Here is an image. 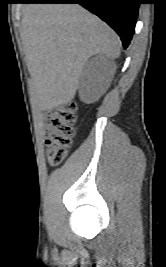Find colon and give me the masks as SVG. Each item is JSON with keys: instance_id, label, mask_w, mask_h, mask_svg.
<instances>
[{"instance_id": "1", "label": "colon", "mask_w": 166, "mask_h": 267, "mask_svg": "<svg viewBox=\"0 0 166 267\" xmlns=\"http://www.w3.org/2000/svg\"><path fill=\"white\" fill-rule=\"evenodd\" d=\"M77 116V106L74 102L47 110L45 123L49 132L46 147L48 161L52 166L65 159L75 134Z\"/></svg>"}]
</instances>
